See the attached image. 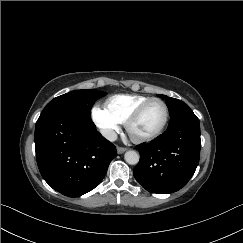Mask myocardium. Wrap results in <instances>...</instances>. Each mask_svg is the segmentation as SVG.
<instances>
[{
    "instance_id": "obj_1",
    "label": "myocardium",
    "mask_w": 243,
    "mask_h": 243,
    "mask_svg": "<svg viewBox=\"0 0 243 243\" xmlns=\"http://www.w3.org/2000/svg\"><path fill=\"white\" fill-rule=\"evenodd\" d=\"M155 102H160L163 104L164 109H165V116H164V120L162 125L159 127V129L157 131H155L153 134L146 136V137H135L132 133H131V127L132 125L137 122L140 117L142 116L143 112L145 111V109L151 105L152 103ZM169 118H170V110H169V106L167 104V102L161 98H151L150 100L146 101L145 103L141 104L126 120L125 122V127H126V131L129 135V137L132 139V141H134L135 143H147L150 142L156 138H158L166 129L167 124L169 122Z\"/></svg>"
}]
</instances>
